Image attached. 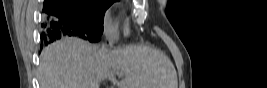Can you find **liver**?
Listing matches in <instances>:
<instances>
[{
    "label": "liver",
    "instance_id": "obj_1",
    "mask_svg": "<svg viewBox=\"0 0 267 88\" xmlns=\"http://www.w3.org/2000/svg\"><path fill=\"white\" fill-rule=\"evenodd\" d=\"M122 73L119 83L116 75ZM41 88H100L108 79L118 88H177V72L161 51L142 45L99 48L82 39L64 37L40 54Z\"/></svg>",
    "mask_w": 267,
    "mask_h": 88
}]
</instances>
